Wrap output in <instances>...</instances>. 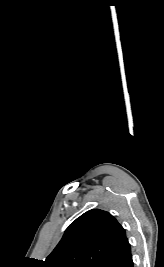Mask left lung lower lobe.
<instances>
[{
  "instance_id": "obj_1",
  "label": "left lung lower lobe",
  "mask_w": 164,
  "mask_h": 267,
  "mask_svg": "<svg viewBox=\"0 0 164 267\" xmlns=\"http://www.w3.org/2000/svg\"><path fill=\"white\" fill-rule=\"evenodd\" d=\"M103 267H133L131 248L126 236Z\"/></svg>"
}]
</instances>
